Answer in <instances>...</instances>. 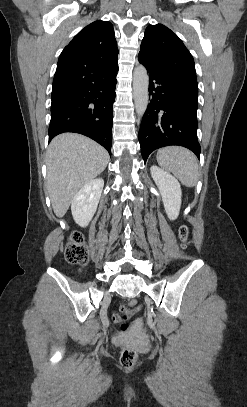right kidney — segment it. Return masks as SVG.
I'll return each mask as SVG.
<instances>
[{"instance_id":"ca27d5eb","label":"right kidney","mask_w":247,"mask_h":407,"mask_svg":"<svg viewBox=\"0 0 247 407\" xmlns=\"http://www.w3.org/2000/svg\"><path fill=\"white\" fill-rule=\"evenodd\" d=\"M104 186L102 178L93 179L85 184L72 199L71 212L75 222L86 227L92 220Z\"/></svg>"}]
</instances>
